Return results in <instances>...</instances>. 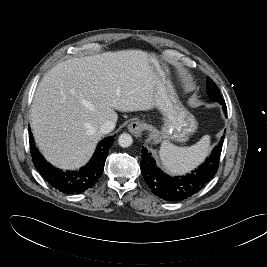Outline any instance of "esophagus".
Returning <instances> with one entry per match:
<instances>
[{"label": "esophagus", "instance_id": "1", "mask_svg": "<svg viewBox=\"0 0 267 267\" xmlns=\"http://www.w3.org/2000/svg\"><path fill=\"white\" fill-rule=\"evenodd\" d=\"M128 129L134 136L139 137L144 130V125L141 121L135 120L128 125Z\"/></svg>", "mask_w": 267, "mask_h": 267}]
</instances>
